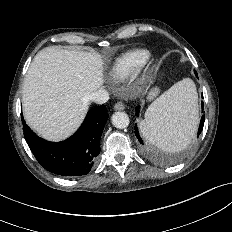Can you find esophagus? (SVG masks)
Here are the masks:
<instances>
[{
	"instance_id": "obj_1",
	"label": "esophagus",
	"mask_w": 232,
	"mask_h": 232,
	"mask_svg": "<svg viewBox=\"0 0 232 232\" xmlns=\"http://www.w3.org/2000/svg\"><path fill=\"white\" fill-rule=\"evenodd\" d=\"M124 109H125V105L122 102H117L114 105V110L121 111V110H124Z\"/></svg>"
}]
</instances>
